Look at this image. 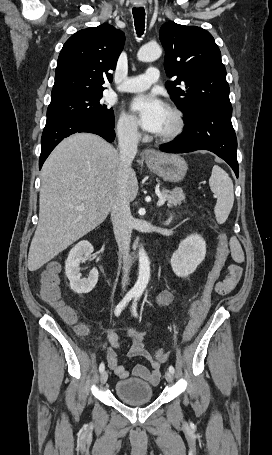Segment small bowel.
I'll list each match as a JSON object with an SVG mask.
<instances>
[{
  "label": "small bowel",
  "mask_w": 272,
  "mask_h": 455,
  "mask_svg": "<svg viewBox=\"0 0 272 455\" xmlns=\"http://www.w3.org/2000/svg\"><path fill=\"white\" fill-rule=\"evenodd\" d=\"M229 250L234 263L228 266L226 276L222 280H218L214 286V292L219 295L230 293L242 276L241 264L244 262L245 256L239 241L234 237L229 241ZM156 302L162 307L170 308L174 304V294L170 290H164L157 295ZM130 338L131 346L128 356L143 357L151 362V368L143 364L135 365L132 369L133 376L147 380L151 384H157L161 377V365L159 362L153 361L145 349L142 332L133 330L130 332ZM108 340L111 343V347L106 351L108 366L120 379H126L130 375L129 371L119 363L116 353L120 346L118 335L115 332H110Z\"/></svg>",
  "instance_id": "small-bowel-1"
}]
</instances>
